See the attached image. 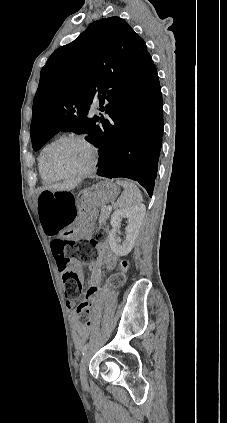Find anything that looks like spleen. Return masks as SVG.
Here are the masks:
<instances>
[{"label":"spleen","mask_w":227,"mask_h":423,"mask_svg":"<svg viewBox=\"0 0 227 423\" xmlns=\"http://www.w3.org/2000/svg\"><path fill=\"white\" fill-rule=\"evenodd\" d=\"M116 184L124 188L122 196L117 200V206L119 208H135V206H140L143 198L135 184H132L130 180H119V178L116 180Z\"/></svg>","instance_id":"spleen-1"}]
</instances>
